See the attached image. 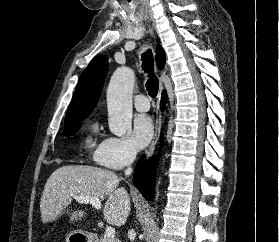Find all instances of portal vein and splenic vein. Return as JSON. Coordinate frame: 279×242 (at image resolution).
I'll return each mask as SVG.
<instances>
[{"instance_id": "portal-vein-and-splenic-vein-1", "label": "portal vein and splenic vein", "mask_w": 279, "mask_h": 242, "mask_svg": "<svg viewBox=\"0 0 279 242\" xmlns=\"http://www.w3.org/2000/svg\"><path fill=\"white\" fill-rule=\"evenodd\" d=\"M74 198L79 203H85V204L90 203L92 206H94L97 209L101 208V202H100L99 198L91 197V196H84V195L75 196ZM105 235L109 238H114L115 229L111 226H107L105 229Z\"/></svg>"}]
</instances>
